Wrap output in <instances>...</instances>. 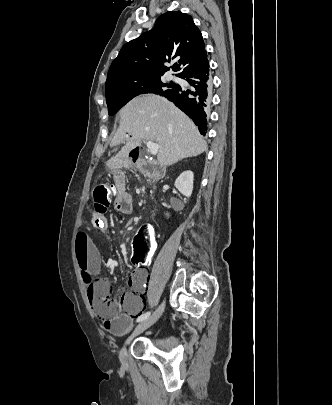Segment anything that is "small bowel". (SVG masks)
Returning a JSON list of instances; mask_svg holds the SVG:
<instances>
[{"instance_id": "small-bowel-1", "label": "small bowel", "mask_w": 332, "mask_h": 405, "mask_svg": "<svg viewBox=\"0 0 332 405\" xmlns=\"http://www.w3.org/2000/svg\"><path fill=\"white\" fill-rule=\"evenodd\" d=\"M114 178L117 180V196L113 198L112 210L122 214H131L133 210V199L125 190L122 180H126V171H115ZM92 217H99L101 210L92 208L90 210ZM105 222L102 221L97 228L102 229ZM75 255L82 277V285L88 286L91 283L92 277L100 270V253L93 240L84 232H79L75 241ZM128 259V253L124 255ZM148 282V274L143 268H138L128 278V286L130 292L126 295L129 300L124 304V313L105 320L104 327L114 335L121 336L131 328V321L139 315L143 308V301L140 297L145 292Z\"/></svg>"}]
</instances>
